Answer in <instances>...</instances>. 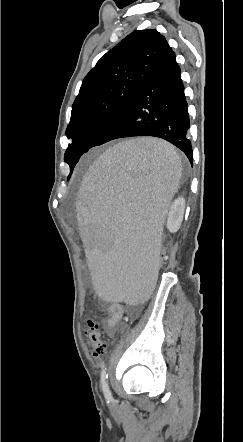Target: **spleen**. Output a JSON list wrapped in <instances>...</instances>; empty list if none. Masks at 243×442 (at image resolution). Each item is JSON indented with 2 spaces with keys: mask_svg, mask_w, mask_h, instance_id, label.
Returning a JSON list of instances; mask_svg holds the SVG:
<instances>
[{
  "mask_svg": "<svg viewBox=\"0 0 243 442\" xmlns=\"http://www.w3.org/2000/svg\"><path fill=\"white\" fill-rule=\"evenodd\" d=\"M182 165L170 144L155 138L105 152L79 183L80 242L105 302L143 307L151 296L162 251L164 219L179 187ZM152 192V193H145Z\"/></svg>",
  "mask_w": 243,
  "mask_h": 442,
  "instance_id": "3e777b00",
  "label": "spleen"
}]
</instances>
